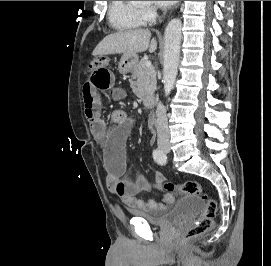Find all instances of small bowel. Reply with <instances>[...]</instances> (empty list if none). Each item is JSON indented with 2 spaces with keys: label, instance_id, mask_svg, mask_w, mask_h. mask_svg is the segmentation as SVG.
Returning a JSON list of instances; mask_svg holds the SVG:
<instances>
[{
  "label": "small bowel",
  "instance_id": "1",
  "mask_svg": "<svg viewBox=\"0 0 271 266\" xmlns=\"http://www.w3.org/2000/svg\"><path fill=\"white\" fill-rule=\"evenodd\" d=\"M99 91H109L121 96L123 93L115 90V73L109 66L90 70V78L83 87V102L85 116L89 122L92 136L98 142L107 144L105 156L106 184L108 189L118 196L130 208L154 212L169 207L174 196L167 193L161 200H144L137 197L140 192L151 191L165 181L161 172H155V185L145 176L139 175L134 180L124 179L126 170L125 138L131 126V121L122 110L112 113V127H108L101 117V100Z\"/></svg>",
  "mask_w": 271,
  "mask_h": 266
}]
</instances>
